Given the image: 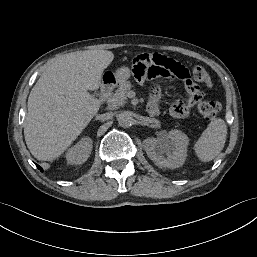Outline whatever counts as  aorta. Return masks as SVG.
<instances>
[{
  "mask_svg": "<svg viewBox=\"0 0 257 257\" xmlns=\"http://www.w3.org/2000/svg\"><path fill=\"white\" fill-rule=\"evenodd\" d=\"M117 120L122 127H130L133 124V117L129 111L120 112L117 116Z\"/></svg>",
  "mask_w": 257,
  "mask_h": 257,
  "instance_id": "aorta-1",
  "label": "aorta"
}]
</instances>
